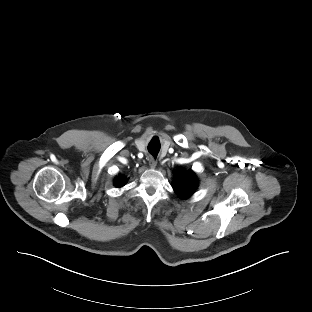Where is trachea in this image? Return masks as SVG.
<instances>
[{
  "instance_id": "trachea-1",
  "label": "trachea",
  "mask_w": 312,
  "mask_h": 312,
  "mask_svg": "<svg viewBox=\"0 0 312 312\" xmlns=\"http://www.w3.org/2000/svg\"><path fill=\"white\" fill-rule=\"evenodd\" d=\"M148 151L154 156V158L157 157L159 151H160V143L158 139H153L150 141L148 145Z\"/></svg>"
}]
</instances>
